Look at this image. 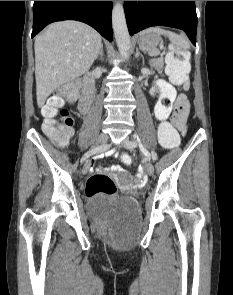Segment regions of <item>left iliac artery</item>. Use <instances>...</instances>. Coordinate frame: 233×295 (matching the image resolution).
Here are the masks:
<instances>
[{
	"label": "left iliac artery",
	"mask_w": 233,
	"mask_h": 295,
	"mask_svg": "<svg viewBox=\"0 0 233 295\" xmlns=\"http://www.w3.org/2000/svg\"><path fill=\"white\" fill-rule=\"evenodd\" d=\"M128 143L130 145H137L139 142L137 140H130ZM151 157H152V162L155 164L157 162L156 152H151Z\"/></svg>",
	"instance_id": "left-iliac-artery-1"
}]
</instances>
